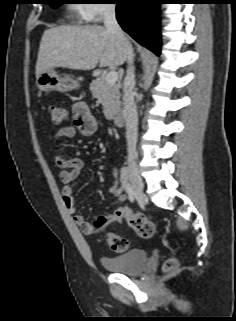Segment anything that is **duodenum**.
<instances>
[{"label": "duodenum", "instance_id": "duodenum-1", "mask_svg": "<svg viewBox=\"0 0 236 321\" xmlns=\"http://www.w3.org/2000/svg\"><path fill=\"white\" fill-rule=\"evenodd\" d=\"M112 121L116 126H123L124 124V115L121 112L114 113L112 115Z\"/></svg>", "mask_w": 236, "mask_h": 321}]
</instances>
